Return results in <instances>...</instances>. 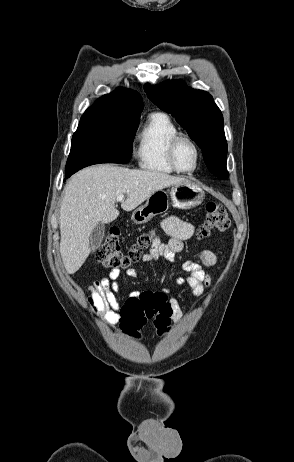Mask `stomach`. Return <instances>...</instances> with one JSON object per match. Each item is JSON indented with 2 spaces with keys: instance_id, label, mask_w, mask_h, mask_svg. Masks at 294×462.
Returning a JSON list of instances; mask_svg holds the SVG:
<instances>
[{
  "instance_id": "1",
  "label": "stomach",
  "mask_w": 294,
  "mask_h": 462,
  "mask_svg": "<svg viewBox=\"0 0 294 462\" xmlns=\"http://www.w3.org/2000/svg\"><path fill=\"white\" fill-rule=\"evenodd\" d=\"M171 203L178 209H191L198 206L204 199V191L195 183L184 180L172 186L169 193ZM169 195L159 190L153 193L143 206L132 213V220L136 224H145L158 214L169 209Z\"/></svg>"
}]
</instances>
